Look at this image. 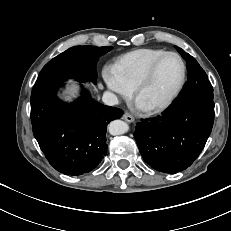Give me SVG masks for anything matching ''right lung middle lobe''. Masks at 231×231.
<instances>
[{"label":"right lung middle lobe","instance_id":"right-lung-middle-lobe-1","mask_svg":"<svg viewBox=\"0 0 231 231\" xmlns=\"http://www.w3.org/2000/svg\"><path fill=\"white\" fill-rule=\"evenodd\" d=\"M112 49L96 46H76L59 54L41 70L34 87L61 84L69 78L79 82H97L96 64L99 57Z\"/></svg>","mask_w":231,"mask_h":231}]
</instances>
